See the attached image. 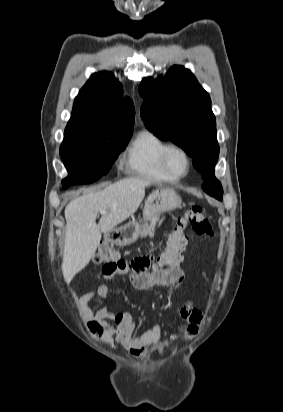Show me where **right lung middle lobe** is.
Instances as JSON below:
<instances>
[{
  "mask_svg": "<svg viewBox=\"0 0 283 412\" xmlns=\"http://www.w3.org/2000/svg\"><path fill=\"white\" fill-rule=\"evenodd\" d=\"M131 136L132 133L93 135L69 122L60 148L68 171V177L62 183L86 184L98 180L109 171Z\"/></svg>",
  "mask_w": 283,
  "mask_h": 412,
  "instance_id": "1",
  "label": "right lung middle lobe"
}]
</instances>
